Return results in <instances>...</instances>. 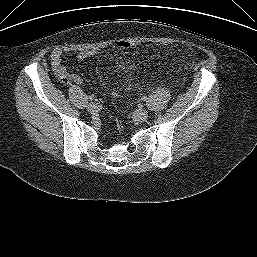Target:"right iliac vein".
Segmentation results:
<instances>
[{
    "label": "right iliac vein",
    "mask_w": 257,
    "mask_h": 257,
    "mask_svg": "<svg viewBox=\"0 0 257 257\" xmlns=\"http://www.w3.org/2000/svg\"><path fill=\"white\" fill-rule=\"evenodd\" d=\"M87 110H88L90 113H95V112H97L98 107H97L94 103H89V104L87 105Z\"/></svg>",
    "instance_id": "right-iliac-vein-1"
}]
</instances>
